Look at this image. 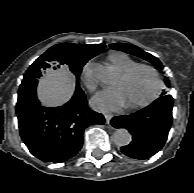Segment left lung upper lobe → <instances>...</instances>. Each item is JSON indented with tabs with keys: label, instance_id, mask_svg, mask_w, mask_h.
Here are the masks:
<instances>
[{
	"label": "left lung upper lobe",
	"instance_id": "obj_1",
	"mask_svg": "<svg viewBox=\"0 0 194 193\" xmlns=\"http://www.w3.org/2000/svg\"><path fill=\"white\" fill-rule=\"evenodd\" d=\"M110 47L112 49H116V50H121L124 51L126 53L138 56L142 59H145L149 62H151L152 64H154V66L158 69V70H162L163 69V65L162 63L159 61L158 58L154 57L153 55L143 51L142 49L138 48L137 46L131 45V44H124V43H117V44H110ZM165 83L167 86H169V80L168 78H165ZM166 95V92L162 93V96Z\"/></svg>",
	"mask_w": 194,
	"mask_h": 193
}]
</instances>
